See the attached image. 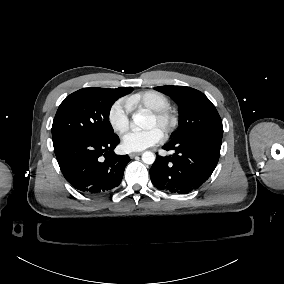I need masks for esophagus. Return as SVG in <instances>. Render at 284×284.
Returning a JSON list of instances; mask_svg holds the SVG:
<instances>
[{
    "label": "esophagus",
    "mask_w": 284,
    "mask_h": 284,
    "mask_svg": "<svg viewBox=\"0 0 284 284\" xmlns=\"http://www.w3.org/2000/svg\"><path fill=\"white\" fill-rule=\"evenodd\" d=\"M141 154V152H132V153H130L129 154V156H130V158H134L136 155H140Z\"/></svg>",
    "instance_id": "34e87169"
}]
</instances>
